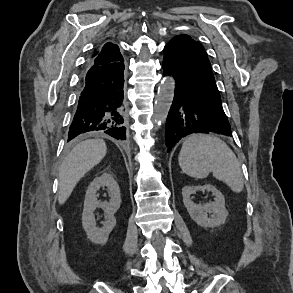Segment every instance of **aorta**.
<instances>
[{"label": "aorta", "mask_w": 293, "mask_h": 293, "mask_svg": "<svg viewBox=\"0 0 293 293\" xmlns=\"http://www.w3.org/2000/svg\"><path fill=\"white\" fill-rule=\"evenodd\" d=\"M175 82L173 79H165L159 89L154 105L153 123L155 129L165 122L174 98Z\"/></svg>", "instance_id": "obj_1"}]
</instances>
